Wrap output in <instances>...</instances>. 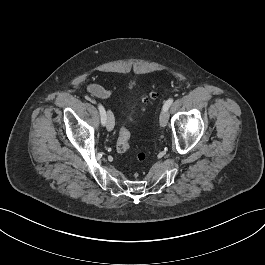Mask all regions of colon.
<instances>
[{
  "mask_svg": "<svg viewBox=\"0 0 265 265\" xmlns=\"http://www.w3.org/2000/svg\"><path fill=\"white\" fill-rule=\"evenodd\" d=\"M155 97L154 93H149L148 95H145L143 97V101H150ZM130 148V132L127 128L123 127L119 134H118V138L116 141V150L119 153H125L129 150ZM147 159V154L145 152H138L136 154V160L139 163H142L144 161H146Z\"/></svg>",
  "mask_w": 265,
  "mask_h": 265,
  "instance_id": "5ec220e1",
  "label": "colon"
}]
</instances>
